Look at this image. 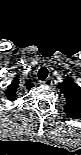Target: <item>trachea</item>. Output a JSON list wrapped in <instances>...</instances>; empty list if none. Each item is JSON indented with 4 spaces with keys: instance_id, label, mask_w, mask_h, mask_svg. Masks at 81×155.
Segmentation results:
<instances>
[{
    "instance_id": "obj_1",
    "label": "trachea",
    "mask_w": 81,
    "mask_h": 155,
    "mask_svg": "<svg viewBox=\"0 0 81 155\" xmlns=\"http://www.w3.org/2000/svg\"><path fill=\"white\" fill-rule=\"evenodd\" d=\"M48 77V69L46 67H41L38 71V79L45 80Z\"/></svg>"
}]
</instances>
